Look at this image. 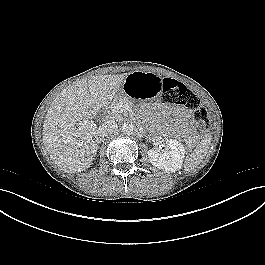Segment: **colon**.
I'll return each instance as SVG.
<instances>
[{"label": "colon", "mask_w": 265, "mask_h": 265, "mask_svg": "<svg viewBox=\"0 0 265 265\" xmlns=\"http://www.w3.org/2000/svg\"><path fill=\"white\" fill-rule=\"evenodd\" d=\"M164 102L171 105H182L194 109L193 122L198 132L207 130L210 125L209 113L201 105L198 96L184 84L170 78L162 80Z\"/></svg>", "instance_id": "1"}]
</instances>
